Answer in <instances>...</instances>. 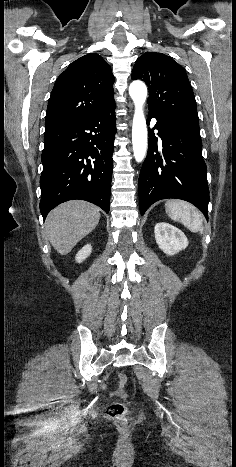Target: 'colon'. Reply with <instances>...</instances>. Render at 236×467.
<instances>
[{"mask_svg":"<svg viewBox=\"0 0 236 467\" xmlns=\"http://www.w3.org/2000/svg\"><path fill=\"white\" fill-rule=\"evenodd\" d=\"M117 378H118L119 389L120 391H123L127 385V376L124 373L119 372L117 375ZM127 412H128L127 406L122 402H114V403H111L107 407V415L111 419L117 422L123 423V424L126 423L127 421L126 419Z\"/></svg>","mask_w":236,"mask_h":467,"instance_id":"1","label":"colon"}]
</instances>
